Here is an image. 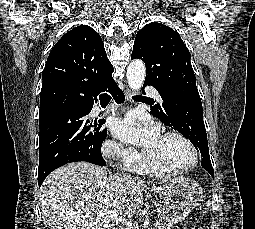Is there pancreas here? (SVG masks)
Returning a JSON list of instances; mask_svg holds the SVG:
<instances>
[{
	"label": "pancreas",
	"mask_w": 255,
	"mask_h": 229,
	"mask_svg": "<svg viewBox=\"0 0 255 229\" xmlns=\"http://www.w3.org/2000/svg\"><path fill=\"white\" fill-rule=\"evenodd\" d=\"M123 229H130V228L125 227ZM155 229H170V225L169 224H160L158 227H155Z\"/></svg>",
	"instance_id": "obj_1"
}]
</instances>
